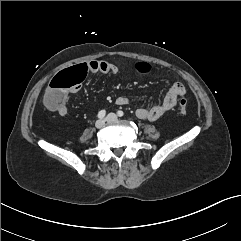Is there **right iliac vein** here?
<instances>
[{
    "label": "right iliac vein",
    "mask_w": 241,
    "mask_h": 241,
    "mask_svg": "<svg viewBox=\"0 0 241 241\" xmlns=\"http://www.w3.org/2000/svg\"><path fill=\"white\" fill-rule=\"evenodd\" d=\"M104 124H105V121L102 120V119H100V120H97V121H96L95 127L98 128V129H100V128H102V127L104 126Z\"/></svg>",
    "instance_id": "obj_1"
}]
</instances>
